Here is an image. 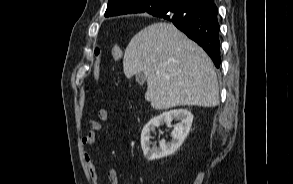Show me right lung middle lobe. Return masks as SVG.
<instances>
[{
	"label": "right lung middle lobe",
	"instance_id": "obj_1",
	"mask_svg": "<svg viewBox=\"0 0 293 184\" xmlns=\"http://www.w3.org/2000/svg\"><path fill=\"white\" fill-rule=\"evenodd\" d=\"M168 6H169L168 0H157V1H154L152 4V7L154 8L155 11H162Z\"/></svg>",
	"mask_w": 293,
	"mask_h": 184
}]
</instances>
